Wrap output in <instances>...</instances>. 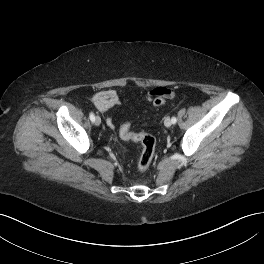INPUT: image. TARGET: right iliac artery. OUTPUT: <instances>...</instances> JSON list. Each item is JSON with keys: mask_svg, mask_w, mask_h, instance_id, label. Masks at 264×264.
Wrapping results in <instances>:
<instances>
[{"mask_svg": "<svg viewBox=\"0 0 264 264\" xmlns=\"http://www.w3.org/2000/svg\"><path fill=\"white\" fill-rule=\"evenodd\" d=\"M89 118H90V120H91L92 122H94V120H95V116H94L93 113H90V114H89Z\"/></svg>", "mask_w": 264, "mask_h": 264, "instance_id": "82829eb1", "label": "right iliac artery"}]
</instances>
